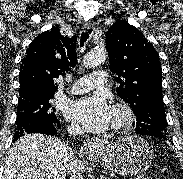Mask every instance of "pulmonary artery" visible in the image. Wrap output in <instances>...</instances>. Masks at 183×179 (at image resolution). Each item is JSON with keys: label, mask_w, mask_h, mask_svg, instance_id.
<instances>
[{"label": "pulmonary artery", "mask_w": 183, "mask_h": 179, "mask_svg": "<svg viewBox=\"0 0 183 179\" xmlns=\"http://www.w3.org/2000/svg\"><path fill=\"white\" fill-rule=\"evenodd\" d=\"M106 73L95 71L76 80L71 87V93L80 94L92 90L106 83Z\"/></svg>", "instance_id": "obj_1"}]
</instances>
